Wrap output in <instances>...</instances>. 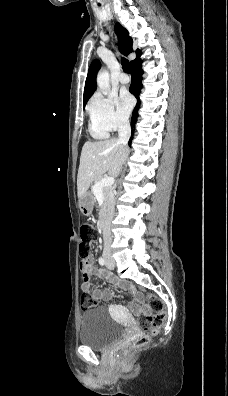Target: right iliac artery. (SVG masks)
I'll return each instance as SVG.
<instances>
[{
    "instance_id": "right-iliac-artery-1",
    "label": "right iliac artery",
    "mask_w": 228,
    "mask_h": 396,
    "mask_svg": "<svg viewBox=\"0 0 228 396\" xmlns=\"http://www.w3.org/2000/svg\"><path fill=\"white\" fill-rule=\"evenodd\" d=\"M99 264H100L101 266H104V265H105V260H104L103 257H100V258H99Z\"/></svg>"
}]
</instances>
